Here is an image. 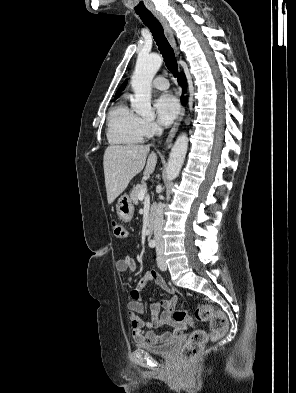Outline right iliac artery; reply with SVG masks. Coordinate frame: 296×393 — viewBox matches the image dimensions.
<instances>
[{
    "mask_svg": "<svg viewBox=\"0 0 296 393\" xmlns=\"http://www.w3.org/2000/svg\"><path fill=\"white\" fill-rule=\"evenodd\" d=\"M156 246V242L155 241H150L149 242V247L150 248H154Z\"/></svg>",
    "mask_w": 296,
    "mask_h": 393,
    "instance_id": "right-iliac-artery-1",
    "label": "right iliac artery"
}]
</instances>
